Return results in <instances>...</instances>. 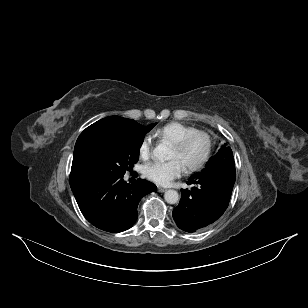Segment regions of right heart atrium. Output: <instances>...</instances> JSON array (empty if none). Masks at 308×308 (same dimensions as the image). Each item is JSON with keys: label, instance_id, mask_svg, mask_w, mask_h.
Instances as JSON below:
<instances>
[{"label": "right heart atrium", "instance_id": "right-heart-atrium-1", "mask_svg": "<svg viewBox=\"0 0 308 308\" xmlns=\"http://www.w3.org/2000/svg\"><path fill=\"white\" fill-rule=\"evenodd\" d=\"M138 155L143 161H148L152 156V139L145 136L138 146Z\"/></svg>", "mask_w": 308, "mask_h": 308}]
</instances>
